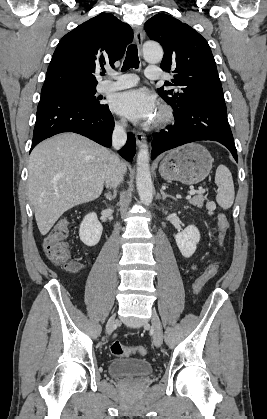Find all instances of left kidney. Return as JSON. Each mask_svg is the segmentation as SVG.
I'll return each instance as SVG.
<instances>
[{
	"mask_svg": "<svg viewBox=\"0 0 267 419\" xmlns=\"http://www.w3.org/2000/svg\"><path fill=\"white\" fill-rule=\"evenodd\" d=\"M175 240L181 254L185 258H189L196 251L197 244L200 240V232L196 226L189 225L183 231L176 234Z\"/></svg>",
	"mask_w": 267,
	"mask_h": 419,
	"instance_id": "1",
	"label": "left kidney"
}]
</instances>
